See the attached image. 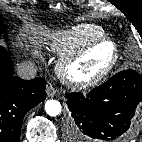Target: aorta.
Wrapping results in <instances>:
<instances>
[{
  "label": "aorta",
  "mask_w": 142,
  "mask_h": 142,
  "mask_svg": "<svg viewBox=\"0 0 142 142\" xmlns=\"http://www.w3.org/2000/svg\"><path fill=\"white\" fill-rule=\"evenodd\" d=\"M45 110L49 116H57L61 113V104L57 100H48L45 103Z\"/></svg>",
  "instance_id": "aorta-1"
}]
</instances>
